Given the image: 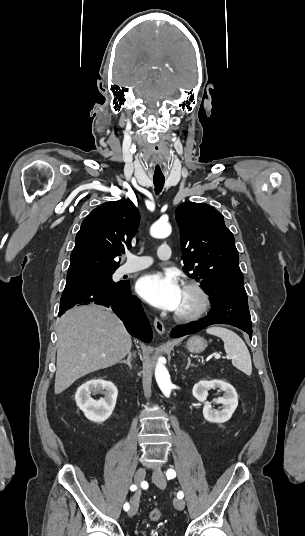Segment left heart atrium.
<instances>
[{
	"mask_svg": "<svg viewBox=\"0 0 305 536\" xmlns=\"http://www.w3.org/2000/svg\"><path fill=\"white\" fill-rule=\"evenodd\" d=\"M135 290L150 305L168 311L177 310L182 298V289L172 274H145L136 282Z\"/></svg>",
	"mask_w": 305,
	"mask_h": 536,
	"instance_id": "left-heart-atrium-1",
	"label": "left heart atrium"
}]
</instances>
